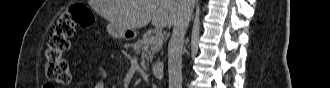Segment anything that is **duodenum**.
<instances>
[{
  "label": "duodenum",
  "mask_w": 330,
  "mask_h": 88,
  "mask_svg": "<svg viewBox=\"0 0 330 88\" xmlns=\"http://www.w3.org/2000/svg\"><path fill=\"white\" fill-rule=\"evenodd\" d=\"M151 72L156 78L160 79L164 73V66L161 63H154L151 67Z\"/></svg>",
  "instance_id": "obj_1"
}]
</instances>
